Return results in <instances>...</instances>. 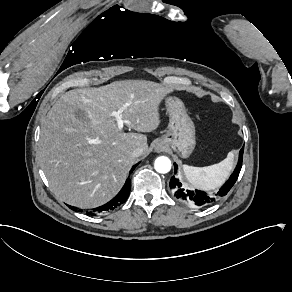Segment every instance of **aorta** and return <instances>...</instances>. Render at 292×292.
I'll return each instance as SVG.
<instances>
[{
	"label": "aorta",
	"mask_w": 292,
	"mask_h": 292,
	"mask_svg": "<svg viewBox=\"0 0 292 292\" xmlns=\"http://www.w3.org/2000/svg\"><path fill=\"white\" fill-rule=\"evenodd\" d=\"M155 170L159 173H168L171 169V161L168 157L161 156L155 160Z\"/></svg>",
	"instance_id": "aorta-1"
}]
</instances>
